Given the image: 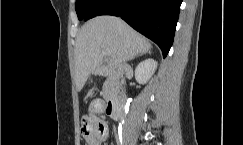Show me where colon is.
<instances>
[{
    "label": "colon",
    "mask_w": 243,
    "mask_h": 145,
    "mask_svg": "<svg viewBox=\"0 0 243 145\" xmlns=\"http://www.w3.org/2000/svg\"><path fill=\"white\" fill-rule=\"evenodd\" d=\"M94 131H95L94 125L88 119L87 116H84L83 120H82V125H81V134H82L83 138L86 139V138L92 136Z\"/></svg>",
    "instance_id": "1"
}]
</instances>
